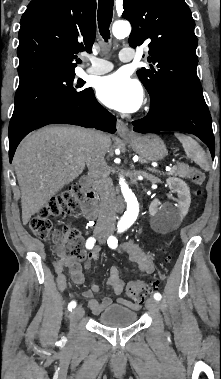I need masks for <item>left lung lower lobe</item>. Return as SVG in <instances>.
<instances>
[{
    "label": "left lung lower lobe",
    "instance_id": "0a47b994",
    "mask_svg": "<svg viewBox=\"0 0 221 379\" xmlns=\"http://www.w3.org/2000/svg\"><path fill=\"white\" fill-rule=\"evenodd\" d=\"M132 123L134 131L139 133L174 130L194 134L209 147L214 157L212 120L203 96L158 90L151 96L147 116Z\"/></svg>",
    "mask_w": 221,
    "mask_h": 379
}]
</instances>
